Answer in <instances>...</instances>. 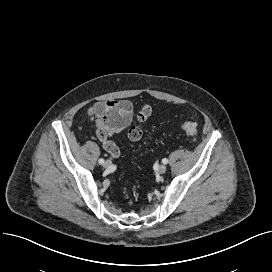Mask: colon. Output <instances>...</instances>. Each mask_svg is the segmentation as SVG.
I'll list each match as a JSON object with an SVG mask.
<instances>
[{
	"instance_id": "5ec220e1",
	"label": "colon",
	"mask_w": 272,
	"mask_h": 272,
	"mask_svg": "<svg viewBox=\"0 0 272 272\" xmlns=\"http://www.w3.org/2000/svg\"><path fill=\"white\" fill-rule=\"evenodd\" d=\"M97 134L99 138L107 136L111 132L121 130L129 121V116L124 114L114 106H103L97 110ZM144 120V115H139L138 124L130 127L128 136L133 139H140L143 131L141 123ZM183 131L191 138H195L198 133L197 123L194 121H186L181 125Z\"/></svg>"
}]
</instances>
